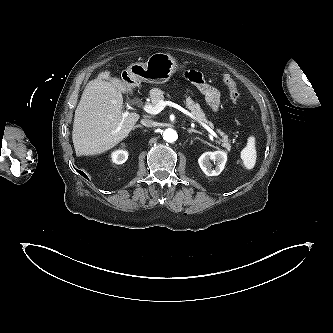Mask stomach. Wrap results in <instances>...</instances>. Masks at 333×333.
<instances>
[{"label":"stomach","instance_id":"0dacf381","mask_svg":"<svg viewBox=\"0 0 333 333\" xmlns=\"http://www.w3.org/2000/svg\"><path fill=\"white\" fill-rule=\"evenodd\" d=\"M177 70L176 60L166 53H154L145 63H133L126 70V78L134 85L143 82L163 84Z\"/></svg>","mask_w":333,"mask_h":333}]
</instances>
